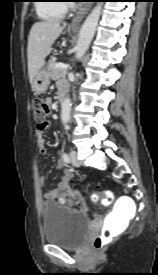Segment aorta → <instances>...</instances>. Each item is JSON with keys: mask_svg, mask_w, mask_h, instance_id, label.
<instances>
[{"mask_svg": "<svg viewBox=\"0 0 158 275\" xmlns=\"http://www.w3.org/2000/svg\"><path fill=\"white\" fill-rule=\"evenodd\" d=\"M102 10V3H98L91 13L87 16L84 21L80 32L79 38L76 46V58L79 60L83 57L87 51L96 31L100 15ZM71 112V100L69 98L64 99L61 104V120L64 125H66L70 119Z\"/></svg>", "mask_w": 158, "mask_h": 275, "instance_id": "1", "label": "aorta"}]
</instances>
